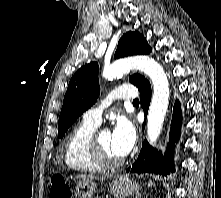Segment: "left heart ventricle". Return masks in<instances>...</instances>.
<instances>
[{"label": "left heart ventricle", "instance_id": "b2bd125f", "mask_svg": "<svg viewBox=\"0 0 221 198\" xmlns=\"http://www.w3.org/2000/svg\"><path fill=\"white\" fill-rule=\"evenodd\" d=\"M99 142L109 157L113 159L121 158V156L118 155L112 147L111 133L109 131H102L99 134Z\"/></svg>", "mask_w": 221, "mask_h": 198}]
</instances>
